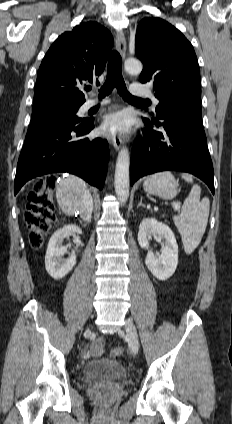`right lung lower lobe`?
Here are the masks:
<instances>
[{
	"mask_svg": "<svg viewBox=\"0 0 232 424\" xmlns=\"http://www.w3.org/2000/svg\"><path fill=\"white\" fill-rule=\"evenodd\" d=\"M93 128L91 120L31 123L17 164L14 194L28 180L55 172L75 174L102 189L110 153L106 140L84 137Z\"/></svg>",
	"mask_w": 232,
	"mask_h": 424,
	"instance_id": "98d812e1",
	"label": "right lung lower lobe"
}]
</instances>
